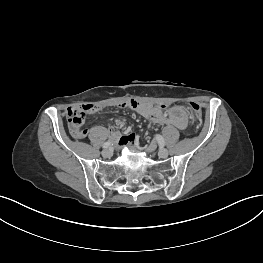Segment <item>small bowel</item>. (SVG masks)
Returning <instances> with one entry per match:
<instances>
[{"mask_svg": "<svg viewBox=\"0 0 263 263\" xmlns=\"http://www.w3.org/2000/svg\"><path fill=\"white\" fill-rule=\"evenodd\" d=\"M120 107L130 108L142 117L147 118L154 123L172 124L179 129H185L188 125V118L183 121L168 118L165 115L163 108L152 106L148 103H143L134 99L123 103L122 105H120ZM77 109L85 111L86 113H94L99 111L100 107L96 104H85L78 107ZM110 133L111 136L118 140L121 145L135 144L137 142V137L135 134L121 135L120 133L113 131H111Z\"/></svg>", "mask_w": 263, "mask_h": 263, "instance_id": "1", "label": "small bowel"}]
</instances>
